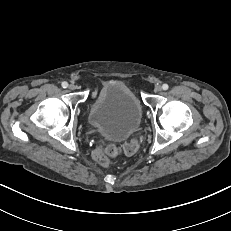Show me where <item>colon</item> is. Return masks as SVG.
<instances>
[{
  "label": "colon",
  "mask_w": 231,
  "mask_h": 231,
  "mask_svg": "<svg viewBox=\"0 0 231 231\" xmlns=\"http://www.w3.org/2000/svg\"><path fill=\"white\" fill-rule=\"evenodd\" d=\"M137 150V144L135 142H129L123 145L122 151L126 155H132ZM120 149L113 143H102L98 145L92 153L93 159L101 165H108L110 161L115 158Z\"/></svg>",
  "instance_id": "obj_1"
}]
</instances>
